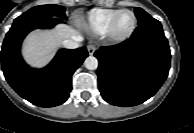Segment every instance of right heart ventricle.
<instances>
[{
	"instance_id": "obj_1",
	"label": "right heart ventricle",
	"mask_w": 194,
	"mask_h": 133,
	"mask_svg": "<svg viewBox=\"0 0 194 133\" xmlns=\"http://www.w3.org/2000/svg\"><path fill=\"white\" fill-rule=\"evenodd\" d=\"M118 10L120 9L94 8L82 18V24L95 34H104L108 21Z\"/></svg>"
}]
</instances>
